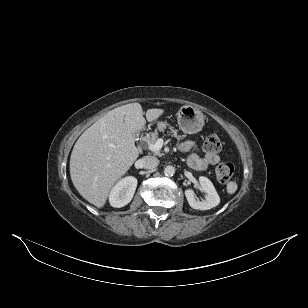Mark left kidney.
Masks as SVG:
<instances>
[{"label":"left kidney","instance_id":"obj_1","mask_svg":"<svg viewBox=\"0 0 308 308\" xmlns=\"http://www.w3.org/2000/svg\"><path fill=\"white\" fill-rule=\"evenodd\" d=\"M199 182L202 189L206 193L205 199L202 201L196 200L194 191L192 189H187L185 190V196L189 205L196 210H209L218 206L220 203V198L212 182L203 176L199 178Z\"/></svg>","mask_w":308,"mask_h":308}]
</instances>
